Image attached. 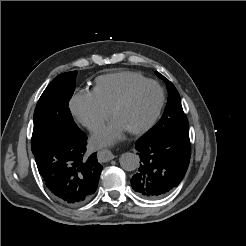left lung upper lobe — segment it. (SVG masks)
<instances>
[{"mask_svg":"<svg viewBox=\"0 0 246 246\" xmlns=\"http://www.w3.org/2000/svg\"><path fill=\"white\" fill-rule=\"evenodd\" d=\"M155 73L159 78L165 80L169 96L161 119L145 135L147 137H154L168 132H189L188 120L182 109L181 99L177 89L160 73Z\"/></svg>","mask_w":246,"mask_h":246,"instance_id":"1","label":"left lung upper lobe"}]
</instances>
